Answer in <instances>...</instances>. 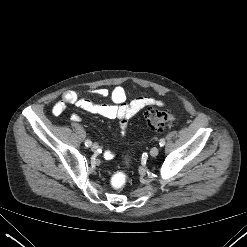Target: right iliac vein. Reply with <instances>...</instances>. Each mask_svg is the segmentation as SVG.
<instances>
[{
	"mask_svg": "<svg viewBox=\"0 0 247 247\" xmlns=\"http://www.w3.org/2000/svg\"><path fill=\"white\" fill-rule=\"evenodd\" d=\"M98 147H99L98 144L94 143V144L91 146V150H92V151H97Z\"/></svg>",
	"mask_w": 247,
	"mask_h": 247,
	"instance_id": "63e3f726",
	"label": "right iliac vein"
}]
</instances>
